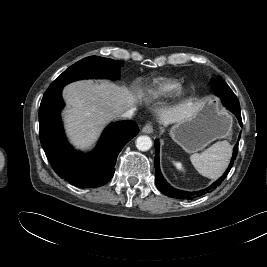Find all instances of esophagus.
I'll list each match as a JSON object with an SVG mask.
<instances>
[{
	"label": "esophagus",
	"instance_id": "esophagus-1",
	"mask_svg": "<svg viewBox=\"0 0 267 267\" xmlns=\"http://www.w3.org/2000/svg\"><path fill=\"white\" fill-rule=\"evenodd\" d=\"M142 132L145 134H151L153 132V124L151 122L146 123L142 128Z\"/></svg>",
	"mask_w": 267,
	"mask_h": 267
}]
</instances>
